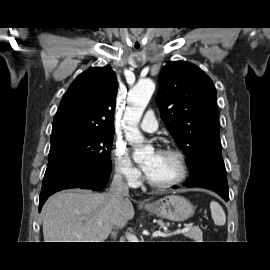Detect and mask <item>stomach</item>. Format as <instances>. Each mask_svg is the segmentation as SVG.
<instances>
[{"mask_svg": "<svg viewBox=\"0 0 270 270\" xmlns=\"http://www.w3.org/2000/svg\"><path fill=\"white\" fill-rule=\"evenodd\" d=\"M145 209L160 217L171 221H185L193 216L195 210L186 198L179 195H168L154 203L147 205Z\"/></svg>", "mask_w": 270, "mask_h": 270, "instance_id": "obj_1", "label": "stomach"}]
</instances>
